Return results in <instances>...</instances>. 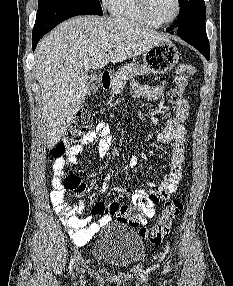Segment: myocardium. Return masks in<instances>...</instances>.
<instances>
[{
  "instance_id": "f54148a6",
  "label": "myocardium",
  "mask_w": 233,
  "mask_h": 286,
  "mask_svg": "<svg viewBox=\"0 0 233 286\" xmlns=\"http://www.w3.org/2000/svg\"><path fill=\"white\" fill-rule=\"evenodd\" d=\"M139 8L141 10V12L143 13V15L146 17V19L154 26H167L172 24L173 22H175L177 20V18L179 17L180 13H181V3L180 0H175L176 3V12L174 14V16L164 22H159L156 21L152 18L150 12H149V7H148V0H137Z\"/></svg>"
}]
</instances>
